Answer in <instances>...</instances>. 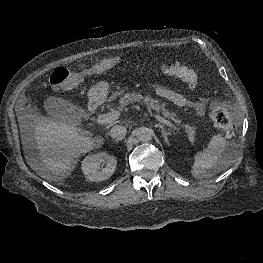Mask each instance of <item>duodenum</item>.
<instances>
[{
    "label": "duodenum",
    "mask_w": 263,
    "mask_h": 263,
    "mask_svg": "<svg viewBox=\"0 0 263 263\" xmlns=\"http://www.w3.org/2000/svg\"><path fill=\"white\" fill-rule=\"evenodd\" d=\"M97 107H98V103L96 100H91L89 102V105H88L89 111L94 112L97 109Z\"/></svg>",
    "instance_id": "410a0bca"
}]
</instances>
